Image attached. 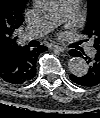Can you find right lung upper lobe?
Returning <instances> with one entry per match:
<instances>
[{
  "label": "right lung upper lobe",
  "instance_id": "cb5924a9",
  "mask_svg": "<svg viewBox=\"0 0 100 118\" xmlns=\"http://www.w3.org/2000/svg\"><path fill=\"white\" fill-rule=\"evenodd\" d=\"M28 0H0V61L13 57L22 47L16 43L15 29L23 23Z\"/></svg>",
  "mask_w": 100,
  "mask_h": 118
}]
</instances>
